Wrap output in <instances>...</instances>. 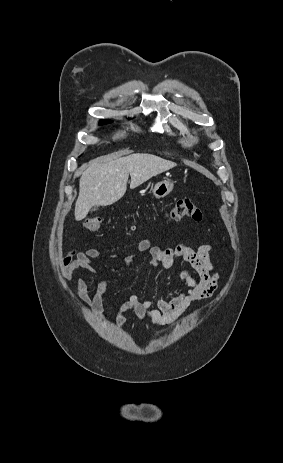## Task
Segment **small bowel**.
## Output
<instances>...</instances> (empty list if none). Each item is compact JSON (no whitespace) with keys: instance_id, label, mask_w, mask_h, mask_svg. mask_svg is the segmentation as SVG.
I'll return each mask as SVG.
<instances>
[{"instance_id":"1","label":"small bowel","mask_w":283,"mask_h":463,"mask_svg":"<svg viewBox=\"0 0 283 463\" xmlns=\"http://www.w3.org/2000/svg\"><path fill=\"white\" fill-rule=\"evenodd\" d=\"M139 252L150 253V263L154 267L169 269L176 259H182L190 264L195 276L190 270L180 272V278L185 288L170 299L143 300L138 295H131L127 300L114 301L113 307L117 310V322L120 326L126 324L124 313L134 311L141 321H150L155 326L163 327L174 323L192 304L213 296L218 288L219 276L215 272L210 260L211 245L205 244L194 250L186 244H178L173 248H160L153 246L147 238L136 245ZM103 258L101 250L89 247L81 251L72 249L61 260L63 276L70 280L77 269H83L92 276L95 272L93 261ZM123 262L129 265L133 256L122 257ZM109 281H101L93 296L88 293V277L80 278L77 282L79 298L96 312H101L104 303L108 300Z\"/></svg>"}]
</instances>
